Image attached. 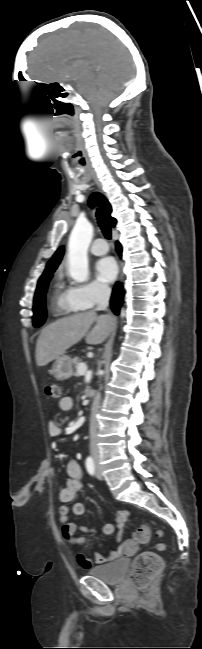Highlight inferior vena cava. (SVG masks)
<instances>
[{"mask_svg":"<svg viewBox=\"0 0 202 649\" xmlns=\"http://www.w3.org/2000/svg\"><path fill=\"white\" fill-rule=\"evenodd\" d=\"M97 293H96V303L97 307L96 310H106L108 305H109V299L111 295V289L109 288L108 285L104 284H99L96 287ZM99 403H100V396L98 395L93 403V419L90 425V454L95 457L98 456L99 449L97 446V421L95 418V414L99 408Z\"/></svg>","mask_w":202,"mask_h":649,"instance_id":"inferior-vena-cava-1","label":"inferior vena cava"}]
</instances>
